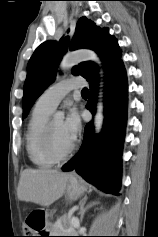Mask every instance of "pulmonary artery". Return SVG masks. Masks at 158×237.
<instances>
[{"label":"pulmonary artery","mask_w":158,"mask_h":237,"mask_svg":"<svg viewBox=\"0 0 158 237\" xmlns=\"http://www.w3.org/2000/svg\"><path fill=\"white\" fill-rule=\"evenodd\" d=\"M85 86L81 77L62 79L47 89L37 100L36 105L49 111H54L62 99L74 89Z\"/></svg>","instance_id":"pulmonary-artery-1"}]
</instances>
